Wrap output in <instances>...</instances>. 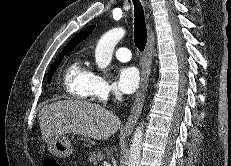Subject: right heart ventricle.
Returning <instances> with one entry per match:
<instances>
[{"mask_svg": "<svg viewBox=\"0 0 231 166\" xmlns=\"http://www.w3.org/2000/svg\"><path fill=\"white\" fill-rule=\"evenodd\" d=\"M92 76L93 72L84 59H74L67 66L63 75V84L66 92L74 99L88 100L91 97Z\"/></svg>", "mask_w": 231, "mask_h": 166, "instance_id": "e07e8e85", "label": "right heart ventricle"}]
</instances>
